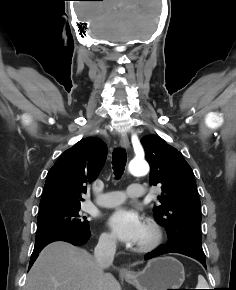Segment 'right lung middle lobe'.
I'll list each match as a JSON object with an SVG mask.
<instances>
[{"mask_svg": "<svg viewBox=\"0 0 236 290\" xmlns=\"http://www.w3.org/2000/svg\"><path fill=\"white\" fill-rule=\"evenodd\" d=\"M80 208L77 204L40 209L36 239L53 233L89 230V222L79 213Z\"/></svg>", "mask_w": 236, "mask_h": 290, "instance_id": "1", "label": "right lung middle lobe"}]
</instances>
